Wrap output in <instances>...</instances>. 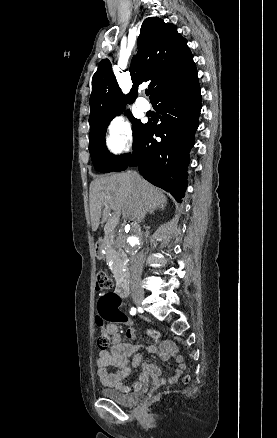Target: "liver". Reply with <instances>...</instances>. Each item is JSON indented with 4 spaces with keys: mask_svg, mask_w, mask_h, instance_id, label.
<instances>
[{
    "mask_svg": "<svg viewBox=\"0 0 277 438\" xmlns=\"http://www.w3.org/2000/svg\"><path fill=\"white\" fill-rule=\"evenodd\" d=\"M89 190L93 232L106 222L110 208L121 212L123 218L140 222L142 214L154 212L156 208L167 204L166 196L146 180L141 178L136 186H132L129 172L114 174L109 178H96L91 182Z\"/></svg>",
    "mask_w": 277,
    "mask_h": 438,
    "instance_id": "6515ba94",
    "label": "liver"
}]
</instances>
